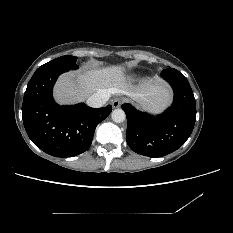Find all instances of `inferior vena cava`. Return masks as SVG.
I'll return each instance as SVG.
<instances>
[{
    "label": "inferior vena cava",
    "mask_w": 233,
    "mask_h": 233,
    "mask_svg": "<svg viewBox=\"0 0 233 233\" xmlns=\"http://www.w3.org/2000/svg\"><path fill=\"white\" fill-rule=\"evenodd\" d=\"M109 94L105 91L97 92L87 99V105L93 108L102 107L109 99Z\"/></svg>",
    "instance_id": "602c4592"
}]
</instances>
